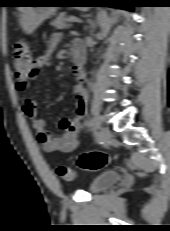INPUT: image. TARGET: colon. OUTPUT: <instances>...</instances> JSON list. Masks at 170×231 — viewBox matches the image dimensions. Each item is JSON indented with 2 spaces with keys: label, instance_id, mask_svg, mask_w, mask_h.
Returning a JSON list of instances; mask_svg holds the SVG:
<instances>
[{
  "label": "colon",
  "instance_id": "obj_1",
  "mask_svg": "<svg viewBox=\"0 0 170 231\" xmlns=\"http://www.w3.org/2000/svg\"><path fill=\"white\" fill-rule=\"evenodd\" d=\"M13 68L18 82H27L36 77L37 64L32 58L29 45L25 41L15 44L13 51ZM112 157L101 151H92L80 154L76 159V165L84 170L98 171L107 167ZM58 175L65 181H73L75 172L67 166L57 168Z\"/></svg>",
  "mask_w": 170,
  "mask_h": 231
}]
</instances>
